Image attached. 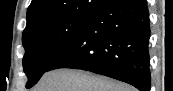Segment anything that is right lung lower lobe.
<instances>
[{"instance_id":"obj_1","label":"right lung lower lobe","mask_w":173,"mask_h":91,"mask_svg":"<svg viewBox=\"0 0 173 91\" xmlns=\"http://www.w3.org/2000/svg\"><path fill=\"white\" fill-rule=\"evenodd\" d=\"M150 20L145 0H109L47 71H91L150 91Z\"/></svg>"}]
</instances>
